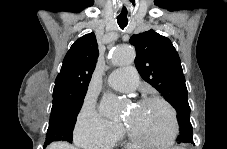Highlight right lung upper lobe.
Returning a JSON list of instances; mask_svg holds the SVG:
<instances>
[{
  "mask_svg": "<svg viewBox=\"0 0 227 149\" xmlns=\"http://www.w3.org/2000/svg\"><path fill=\"white\" fill-rule=\"evenodd\" d=\"M98 55L94 33L86 34L74 42L55 80L53 98L85 97Z\"/></svg>",
  "mask_w": 227,
  "mask_h": 149,
  "instance_id": "obj_1",
  "label": "right lung upper lobe"
}]
</instances>
